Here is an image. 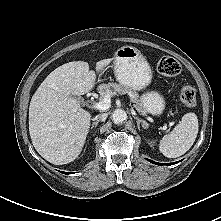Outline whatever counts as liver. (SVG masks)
I'll list each match as a JSON object with an SVG mask.
<instances>
[{
  "instance_id": "6515ba94",
  "label": "liver",
  "mask_w": 221,
  "mask_h": 221,
  "mask_svg": "<svg viewBox=\"0 0 221 221\" xmlns=\"http://www.w3.org/2000/svg\"><path fill=\"white\" fill-rule=\"evenodd\" d=\"M112 59L96 63L101 71ZM95 73L84 61H73L53 70L32 96L29 133L36 151L55 165L74 161L81 153L89 131L91 114L71 96L90 92Z\"/></svg>"
}]
</instances>
